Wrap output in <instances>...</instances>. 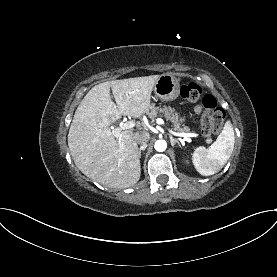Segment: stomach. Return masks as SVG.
Listing matches in <instances>:
<instances>
[{"instance_id":"0dacf381","label":"stomach","mask_w":277,"mask_h":277,"mask_svg":"<svg viewBox=\"0 0 277 277\" xmlns=\"http://www.w3.org/2000/svg\"><path fill=\"white\" fill-rule=\"evenodd\" d=\"M156 97L162 101H171L176 99L180 93L179 80L171 74H162L154 85Z\"/></svg>"}]
</instances>
